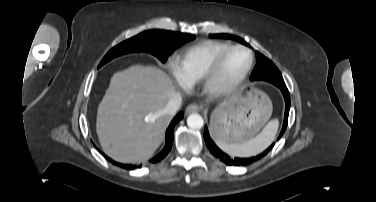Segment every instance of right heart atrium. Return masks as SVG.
I'll return each mask as SVG.
<instances>
[{"label": "right heart atrium", "mask_w": 376, "mask_h": 202, "mask_svg": "<svg viewBox=\"0 0 376 202\" xmlns=\"http://www.w3.org/2000/svg\"><path fill=\"white\" fill-rule=\"evenodd\" d=\"M171 68H172V70H173L174 72H176V69H175L174 65H171Z\"/></svg>", "instance_id": "1"}]
</instances>
